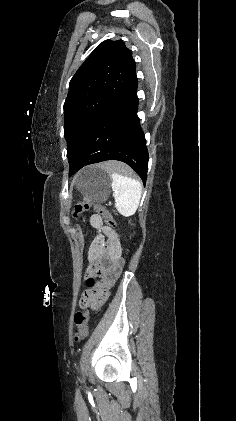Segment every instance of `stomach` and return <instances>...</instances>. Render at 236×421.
<instances>
[{
  "label": "stomach",
  "mask_w": 236,
  "mask_h": 421,
  "mask_svg": "<svg viewBox=\"0 0 236 421\" xmlns=\"http://www.w3.org/2000/svg\"><path fill=\"white\" fill-rule=\"evenodd\" d=\"M112 176L100 166H87L79 172L76 186L84 198L92 202H104L111 192Z\"/></svg>",
  "instance_id": "0dacf381"
}]
</instances>
